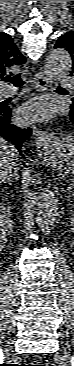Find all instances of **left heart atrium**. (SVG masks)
<instances>
[{
	"label": "left heart atrium",
	"instance_id": "obj_1",
	"mask_svg": "<svg viewBox=\"0 0 74 366\" xmlns=\"http://www.w3.org/2000/svg\"><path fill=\"white\" fill-rule=\"evenodd\" d=\"M53 113V107L46 100H35L19 110V116L22 120H45Z\"/></svg>",
	"mask_w": 74,
	"mask_h": 366
}]
</instances>
